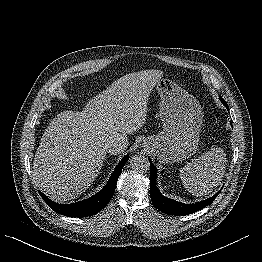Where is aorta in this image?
<instances>
[{
  "instance_id": "1",
  "label": "aorta",
  "mask_w": 262,
  "mask_h": 262,
  "mask_svg": "<svg viewBox=\"0 0 262 262\" xmlns=\"http://www.w3.org/2000/svg\"><path fill=\"white\" fill-rule=\"evenodd\" d=\"M130 166L133 170L139 171V172H144L149 169V161L145 156L142 155H134L130 159Z\"/></svg>"
}]
</instances>
